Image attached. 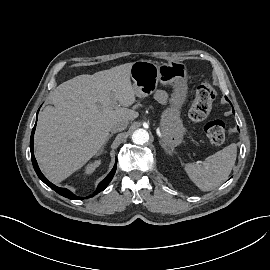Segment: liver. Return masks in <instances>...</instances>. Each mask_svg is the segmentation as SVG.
<instances>
[{
    "label": "liver",
    "mask_w": 270,
    "mask_h": 270,
    "mask_svg": "<svg viewBox=\"0 0 270 270\" xmlns=\"http://www.w3.org/2000/svg\"><path fill=\"white\" fill-rule=\"evenodd\" d=\"M132 64L76 76L53 91L54 106L40 113L35 132V157L50 181H63L96 155L113 123L138 117L128 108L136 101Z\"/></svg>",
    "instance_id": "obj_1"
}]
</instances>
